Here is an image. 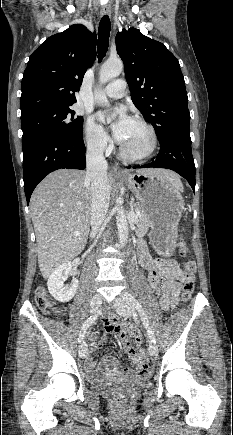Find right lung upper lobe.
Here are the masks:
<instances>
[{
	"label": "right lung upper lobe",
	"instance_id": "right-lung-upper-lobe-1",
	"mask_svg": "<svg viewBox=\"0 0 233 435\" xmlns=\"http://www.w3.org/2000/svg\"><path fill=\"white\" fill-rule=\"evenodd\" d=\"M96 59V33L75 24L43 42L30 56L21 85V116L76 102L84 73Z\"/></svg>",
	"mask_w": 233,
	"mask_h": 435
}]
</instances>
